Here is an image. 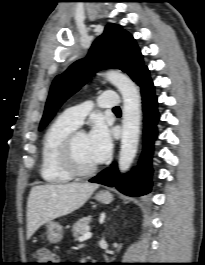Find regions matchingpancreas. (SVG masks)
Returning <instances> with one entry per match:
<instances>
[{"instance_id": "pancreas-1", "label": "pancreas", "mask_w": 205, "mask_h": 265, "mask_svg": "<svg viewBox=\"0 0 205 265\" xmlns=\"http://www.w3.org/2000/svg\"><path fill=\"white\" fill-rule=\"evenodd\" d=\"M90 216L84 217L78 220L72 227L73 236L75 240L79 238V235L84 234L89 229Z\"/></svg>"}]
</instances>
